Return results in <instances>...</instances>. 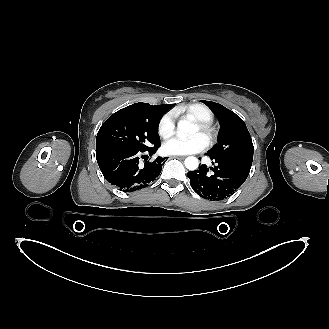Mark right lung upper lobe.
<instances>
[{
    "label": "right lung upper lobe",
    "mask_w": 329,
    "mask_h": 329,
    "mask_svg": "<svg viewBox=\"0 0 329 329\" xmlns=\"http://www.w3.org/2000/svg\"><path fill=\"white\" fill-rule=\"evenodd\" d=\"M143 104H146V103H135L128 107H125V108L117 111L116 113H114L108 120L126 116V115H130V114L134 113L135 111L139 110L143 106ZM161 106L164 108H168V110H169L171 107H173V104H166V105H161Z\"/></svg>",
    "instance_id": "obj_1"
}]
</instances>
